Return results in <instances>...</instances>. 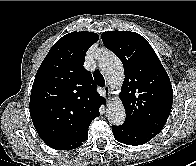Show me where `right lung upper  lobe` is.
<instances>
[{"instance_id":"cb5924a9","label":"right lung upper lobe","mask_w":196,"mask_h":166,"mask_svg":"<svg viewBox=\"0 0 196 166\" xmlns=\"http://www.w3.org/2000/svg\"><path fill=\"white\" fill-rule=\"evenodd\" d=\"M99 39L88 31L60 38L40 65L30 96V115L44 142L82 141L105 99L84 67L87 50Z\"/></svg>"}]
</instances>
